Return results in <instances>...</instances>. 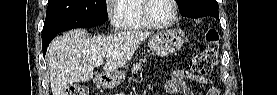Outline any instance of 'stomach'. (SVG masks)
I'll use <instances>...</instances> for the list:
<instances>
[{
	"label": "stomach",
	"instance_id": "0dacf381",
	"mask_svg": "<svg viewBox=\"0 0 277 95\" xmlns=\"http://www.w3.org/2000/svg\"><path fill=\"white\" fill-rule=\"evenodd\" d=\"M181 36L175 31L160 32L153 35L149 42V48L152 53L159 56H166L176 52L182 45ZM125 70H116L106 73L102 77V84L105 87L113 88L121 84L125 79Z\"/></svg>",
	"mask_w": 277,
	"mask_h": 95
}]
</instances>
